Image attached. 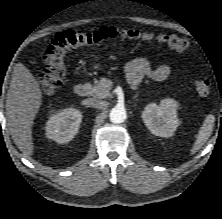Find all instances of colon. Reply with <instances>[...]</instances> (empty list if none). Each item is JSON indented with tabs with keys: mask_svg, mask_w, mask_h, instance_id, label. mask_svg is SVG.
I'll list each match as a JSON object with an SVG mask.
<instances>
[{
	"mask_svg": "<svg viewBox=\"0 0 222 219\" xmlns=\"http://www.w3.org/2000/svg\"><path fill=\"white\" fill-rule=\"evenodd\" d=\"M116 39L152 41L157 40L175 51H185L189 48V41L177 35H158L138 29H117L102 27L92 31L68 30L57 34L50 42L44 55L45 67L39 77L44 91L50 92L62 86L67 77V54L69 51L83 46L99 45ZM200 95H207L211 83L207 79H199L194 84Z\"/></svg>",
	"mask_w": 222,
	"mask_h": 219,
	"instance_id": "5ec220e1",
	"label": "colon"
}]
</instances>
